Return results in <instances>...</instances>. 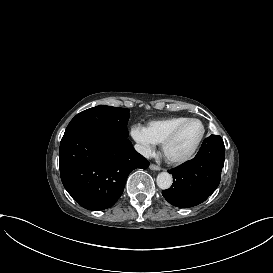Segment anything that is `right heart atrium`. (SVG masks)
Listing matches in <instances>:
<instances>
[{
  "label": "right heart atrium",
  "instance_id": "right-heart-atrium-1",
  "mask_svg": "<svg viewBox=\"0 0 273 273\" xmlns=\"http://www.w3.org/2000/svg\"><path fill=\"white\" fill-rule=\"evenodd\" d=\"M130 134L143 155L149 156L153 153L155 143L150 139L143 126L139 124L133 125L130 129Z\"/></svg>",
  "mask_w": 273,
  "mask_h": 273
}]
</instances>
